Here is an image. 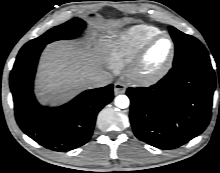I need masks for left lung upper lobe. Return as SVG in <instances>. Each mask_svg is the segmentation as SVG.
I'll return each mask as SVG.
<instances>
[{
	"mask_svg": "<svg viewBox=\"0 0 220 173\" xmlns=\"http://www.w3.org/2000/svg\"><path fill=\"white\" fill-rule=\"evenodd\" d=\"M169 31L175 43L173 65L183 64L192 60H209L207 50L195 37L184 34L172 26L169 27Z\"/></svg>",
	"mask_w": 220,
	"mask_h": 173,
	"instance_id": "5c2ea615",
	"label": "left lung upper lobe"
}]
</instances>
